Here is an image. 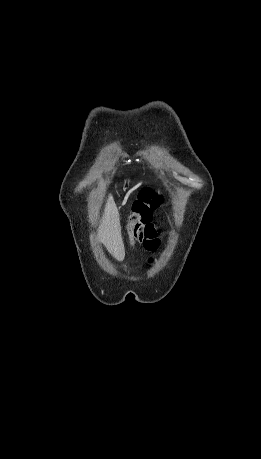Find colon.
<instances>
[{"instance_id": "1", "label": "colon", "mask_w": 261, "mask_h": 459, "mask_svg": "<svg viewBox=\"0 0 261 459\" xmlns=\"http://www.w3.org/2000/svg\"><path fill=\"white\" fill-rule=\"evenodd\" d=\"M162 202V197L152 188H144L138 195L132 206V216H128L127 223L123 225V234L129 240L127 249L131 250L134 242V235L139 238H157L159 231L155 225L157 220H151V212Z\"/></svg>"}]
</instances>
